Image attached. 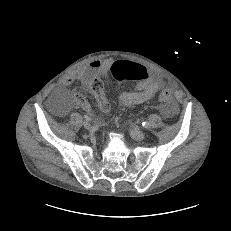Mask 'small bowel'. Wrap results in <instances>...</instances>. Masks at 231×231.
I'll return each instance as SVG.
<instances>
[{"mask_svg": "<svg viewBox=\"0 0 231 231\" xmlns=\"http://www.w3.org/2000/svg\"><path fill=\"white\" fill-rule=\"evenodd\" d=\"M112 64L113 61L111 59L94 60L86 67L78 69L74 73L65 76L62 79L61 84L63 86H69L78 81L83 85L85 89L91 91V83L94 79L102 77L107 82L109 81V71ZM162 86L163 81L159 76L147 73L146 78L138 80L136 87L133 91L120 93L118 96V101L123 106L142 104L153 98ZM95 97L99 105V99L96 95ZM74 102L78 107L82 108L83 110L89 111V103L81 94H74ZM176 111L177 106L172 103L162 109V114L166 117H172L176 113Z\"/></svg>", "mask_w": 231, "mask_h": 231, "instance_id": "small-bowel-1", "label": "small bowel"}]
</instances>
